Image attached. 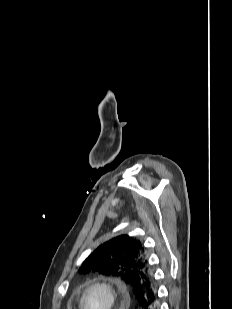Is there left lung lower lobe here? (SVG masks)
<instances>
[{
  "instance_id": "1",
  "label": "left lung lower lobe",
  "mask_w": 232,
  "mask_h": 309,
  "mask_svg": "<svg viewBox=\"0 0 232 309\" xmlns=\"http://www.w3.org/2000/svg\"><path fill=\"white\" fill-rule=\"evenodd\" d=\"M141 309H158L159 308V297L157 295L156 288H154L146 300L139 303Z\"/></svg>"
}]
</instances>
